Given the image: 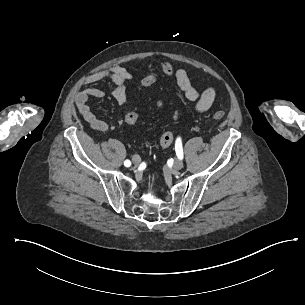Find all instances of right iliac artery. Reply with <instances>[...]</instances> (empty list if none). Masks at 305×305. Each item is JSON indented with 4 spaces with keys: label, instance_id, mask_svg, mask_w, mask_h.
Masks as SVG:
<instances>
[{
    "label": "right iliac artery",
    "instance_id": "obj_1",
    "mask_svg": "<svg viewBox=\"0 0 305 305\" xmlns=\"http://www.w3.org/2000/svg\"><path fill=\"white\" fill-rule=\"evenodd\" d=\"M124 165H125L126 167H129V166L131 165L130 160H125Z\"/></svg>",
    "mask_w": 305,
    "mask_h": 305
}]
</instances>
